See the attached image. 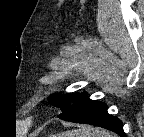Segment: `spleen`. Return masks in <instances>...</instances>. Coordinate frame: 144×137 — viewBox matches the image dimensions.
<instances>
[{"label":"spleen","instance_id":"3e777b00","mask_svg":"<svg viewBox=\"0 0 144 137\" xmlns=\"http://www.w3.org/2000/svg\"><path fill=\"white\" fill-rule=\"evenodd\" d=\"M57 137H113V134L97 127L84 125L79 129L63 132Z\"/></svg>","mask_w":144,"mask_h":137}]
</instances>
